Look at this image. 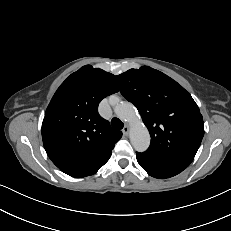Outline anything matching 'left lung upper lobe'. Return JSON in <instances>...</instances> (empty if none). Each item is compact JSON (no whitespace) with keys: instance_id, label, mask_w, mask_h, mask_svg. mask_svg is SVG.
<instances>
[{"instance_id":"left-lung-upper-lobe-1","label":"left lung upper lobe","mask_w":231,"mask_h":231,"mask_svg":"<svg viewBox=\"0 0 231 231\" xmlns=\"http://www.w3.org/2000/svg\"><path fill=\"white\" fill-rule=\"evenodd\" d=\"M116 79L149 130L151 144L144 154L190 165L204 135L203 118L191 95L169 76L147 66L130 69Z\"/></svg>"}]
</instances>
